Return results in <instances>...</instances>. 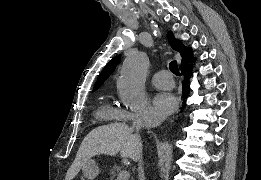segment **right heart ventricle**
I'll return each mask as SVG.
<instances>
[{
  "mask_svg": "<svg viewBox=\"0 0 261 180\" xmlns=\"http://www.w3.org/2000/svg\"><path fill=\"white\" fill-rule=\"evenodd\" d=\"M149 116L151 113H148ZM120 112L114 107L110 100H103L98 103L94 115V121L119 122ZM104 127V126H96Z\"/></svg>",
  "mask_w": 261,
  "mask_h": 180,
  "instance_id": "right-heart-ventricle-1",
  "label": "right heart ventricle"
}]
</instances>
